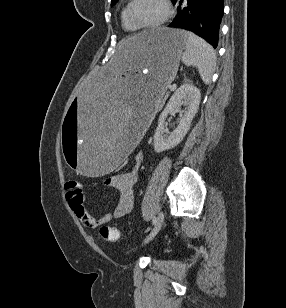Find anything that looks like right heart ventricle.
Returning <instances> with one entry per match:
<instances>
[{
	"label": "right heart ventricle",
	"instance_id": "e07e8e85",
	"mask_svg": "<svg viewBox=\"0 0 286 308\" xmlns=\"http://www.w3.org/2000/svg\"><path fill=\"white\" fill-rule=\"evenodd\" d=\"M129 2H127L122 10H121V14H120V19H121V25H122V28L127 31V32H130V33H134V32H137L139 29H137L136 27H134L130 21L128 20V17H127V10H128V6H129Z\"/></svg>",
	"mask_w": 286,
	"mask_h": 308
}]
</instances>
